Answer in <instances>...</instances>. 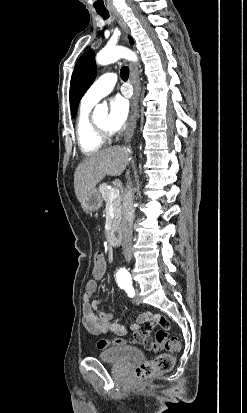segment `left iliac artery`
<instances>
[{
    "instance_id": "44dca946",
    "label": "left iliac artery",
    "mask_w": 247,
    "mask_h": 413,
    "mask_svg": "<svg viewBox=\"0 0 247 413\" xmlns=\"http://www.w3.org/2000/svg\"><path fill=\"white\" fill-rule=\"evenodd\" d=\"M121 288L126 291L129 297L133 298L135 296V291L132 285H124Z\"/></svg>"
}]
</instances>
